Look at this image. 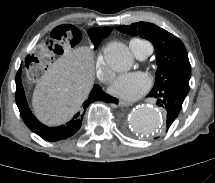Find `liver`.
Segmentation results:
<instances>
[{
    "label": "liver",
    "instance_id": "obj_1",
    "mask_svg": "<svg viewBox=\"0 0 215 183\" xmlns=\"http://www.w3.org/2000/svg\"><path fill=\"white\" fill-rule=\"evenodd\" d=\"M94 83L93 53L79 47L58 58L35 87L32 106L48 126L69 121L87 99Z\"/></svg>",
    "mask_w": 215,
    "mask_h": 183
}]
</instances>
